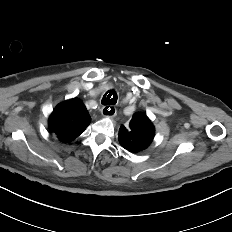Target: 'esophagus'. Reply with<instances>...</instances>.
Listing matches in <instances>:
<instances>
[{
    "mask_svg": "<svg viewBox=\"0 0 232 232\" xmlns=\"http://www.w3.org/2000/svg\"><path fill=\"white\" fill-rule=\"evenodd\" d=\"M101 113L105 117H114L116 115V108L114 106H104L101 109Z\"/></svg>",
    "mask_w": 232,
    "mask_h": 232,
    "instance_id": "34e87169",
    "label": "esophagus"
}]
</instances>
